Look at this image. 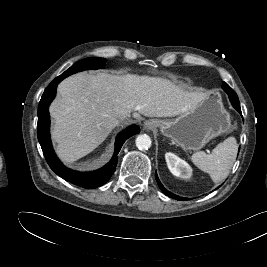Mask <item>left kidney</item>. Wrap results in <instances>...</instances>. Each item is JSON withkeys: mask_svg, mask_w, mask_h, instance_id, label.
Wrapping results in <instances>:
<instances>
[{"mask_svg": "<svg viewBox=\"0 0 267 267\" xmlns=\"http://www.w3.org/2000/svg\"><path fill=\"white\" fill-rule=\"evenodd\" d=\"M165 159L170 172L180 178L189 179L192 176V168L189 164L173 153H166Z\"/></svg>", "mask_w": 267, "mask_h": 267, "instance_id": "5707ae66", "label": "left kidney"}]
</instances>
